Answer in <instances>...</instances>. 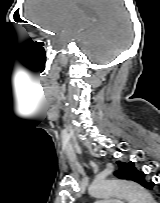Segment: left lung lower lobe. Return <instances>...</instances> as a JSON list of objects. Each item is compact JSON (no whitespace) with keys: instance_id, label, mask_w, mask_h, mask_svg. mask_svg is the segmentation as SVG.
<instances>
[{"instance_id":"left-lung-lower-lobe-1","label":"left lung lower lobe","mask_w":160,"mask_h":203,"mask_svg":"<svg viewBox=\"0 0 160 203\" xmlns=\"http://www.w3.org/2000/svg\"><path fill=\"white\" fill-rule=\"evenodd\" d=\"M155 183L154 182H148L145 186V188L150 189V190H154L155 188Z\"/></svg>"}]
</instances>
